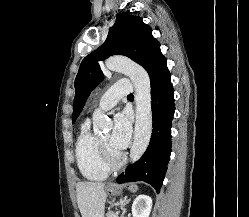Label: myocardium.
Here are the masks:
<instances>
[{"label":"myocardium","instance_id":"1","mask_svg":"<svg viewBox=\"0 0 249 217\" xmlns=\"http://www.w3.org/2000/svg\"><path fill=\"white\" fill-rule=\"evenodd\" d=\"M100 148L104 163L109 169L116 170L124 164L126 158L123 153L112 150L102 140L100 141Z\"/></svg>","mask_w":249,"mask_h":217}]
</instances>
